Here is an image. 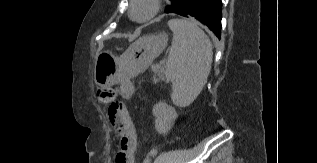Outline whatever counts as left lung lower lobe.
I'll use <instances>...</instances> for the list:
<instances>
[{
	"label": "left lung lower lobe",
	"instance_id": "0a47b994",
	"mask_svg": "<svg viewBox=\"0 0 317 163\" xmlns=\"http://www.w3.org/2000/svg\"><path fill=\"white\" fill-rule=\"evenodd\" d=\"M221 9V0H181L173 12L184 17L196 18L207 25L220 39Z\"/></svg>",
	"mask_w": 317,
	"mask_h": 163
}]
</instances>
